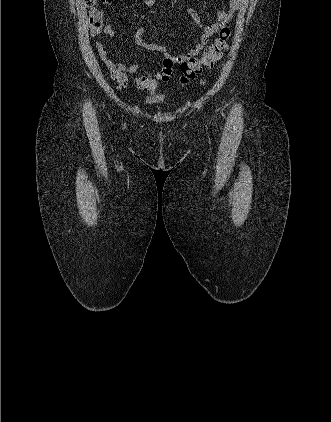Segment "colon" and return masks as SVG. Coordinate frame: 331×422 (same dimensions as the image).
<instances>
[{"label":"colon","instance_id":"5ec220e1","mask_svg":"<svg viewBox=\"0 0 331 422\" xmlns=\"http://www.w3.org/2000/svg\"><path fill=\"white\" fill-rule=\"evenodd\" d=\"M109 2L110 0H86L87 7L91 12V17L100 4ZM231 38V30L224 27L221 29L219 37L208 47L200 58L183 62L180 66V83L182 85H188L201 73L203 67L212 68L216 62L220 61L224 52L228 49ZM143 76L147 78L145 89L150 93H155L157 89L156 80L150 74H145Z\"/></svg>","mask_w":331,"mask_h":422}]
</instances>
